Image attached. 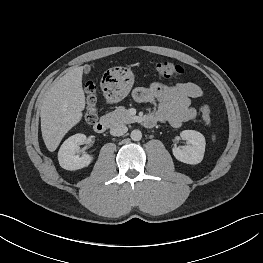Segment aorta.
Wrapping results in <instances>:
<instances>
[{
  "instance_id": "1",
  "label": "aorta",
  "mask_w": 263,
  "mask_h": 263,
  "mask_svg": "<svg viewBox=\"0 0 263 263\" xmlns=\"http://www.w3.org/2000/svg\"><path fill=\"white\" fill-rule=\"evenodd\" d=\"M131 139L133 140V141H140L141 140V138H142V133H141V131L140 130H138V129H135V130H133L132 132H131Z\"/></svg>"
}]
</instances>
